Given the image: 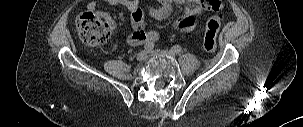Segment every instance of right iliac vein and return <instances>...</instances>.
I'll return each mask as SVG.
<instances>
[{
    "label": "right iliac vein",
    "mask_w": 303,
    "mask_h": 127,
    "mask_svg": "<svg viewBox=\"0 0 303 127\" xmlns=\"http://www.w3.org/2000/svg\"><path fill=\"white\" fill-rule=\"evenodd\" d=\"M147 57V52L146 51H140L137 55H136V59L138 61H144Z\"/></svg>",
    "instance_id": "1"
}]
</instances>
